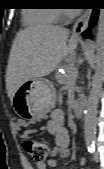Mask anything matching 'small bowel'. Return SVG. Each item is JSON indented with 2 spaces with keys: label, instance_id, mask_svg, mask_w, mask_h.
<instances>
[{
  "label": "small bowel",
  "instance_id": "1",
  "mask_svg": "<svg viewBox=\"0 0 104 169\" xmlns=\"http://www.w3.org/2000/svg\"><path fill=\"white\" fill-rule=\"evenodd\" d=\"M64 121V112L61 109H56L52 112L51 119L48 123V130L54 137L55 145L51 150V155L47 163L38 162L36 164L37 169H46L47 164L57 168L56 158L65 159L69 157V133L64 125ZM81 164H86L84 158L81 159Z\"/></svg>",
  "mask_w": 104,
  "mask_h": 169
}]
</instances>
